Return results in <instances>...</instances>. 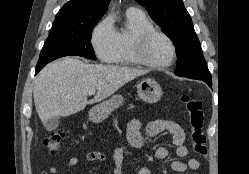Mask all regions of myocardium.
<instances>
[{"label":"myocardium","mask_w":249,"mask_h":174,"mask_svg":"<svg viewBox=\"0 0 249 174\" xmlns=\"http://www.w3.org/2000/svg\"><path fill=\"white\" fill-rule=\"evenodd\" d=\"M155 36H160L164 38L170 44L172 48V57L168 62H165V63L154 62L147 56V53H146L147 46L150 40L154 38ZM131 52L135 60L138 62V64H141L146 67L153 68V69L167 68L174 63L177 57V47L173 39L165 32L159 29H156V28H149L138 33L133 39V42L131 45Z\"/></svg>","instance_id":"myocardium-1"}]
</instances>
